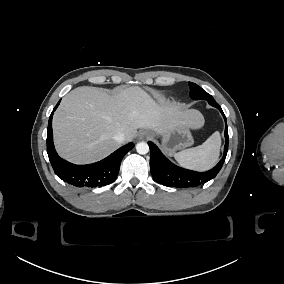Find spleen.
I'll return each mask as SVG.
<instances>
[{
	"mask_svg": "<svg viewBox=\"0 0 284 284\" xmlns=\"http://www.w3.org/2000/svg\"><path fill=\"white\" fill-rule=\"evenodd\" d=\"M220 147L221 136L216 131L202 145L175 153L174 158L182 167L206 171L218 162Z\"/></svg>",
	"mask_w": 284,
	"mask_h": 284,
	"instance_id": "obj_1",
	"label": "spleen"
}]
</instances>
